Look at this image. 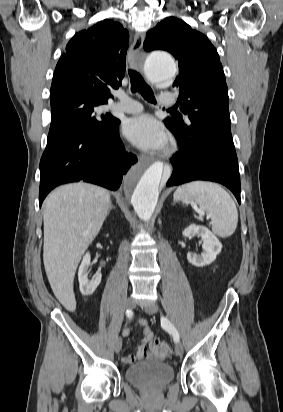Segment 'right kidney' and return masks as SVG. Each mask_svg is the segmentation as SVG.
<instances>
[{
    "mask_svg": "<svg viewBox=\"0 0 283 412\" xmlns=\"http://www.w3.org/2000/svg\"><path fill=\"white\" fill-rule=\"evenodd\" d=\"M90 254L86 253L83 257L78 271V280L80 292L84 296L94 293L101 282V273H97L91 280L88 279V268L90 266Z\"/></svg>",
    "mask_w": 283,
    "mask_h": 412,
    "instance_id": "1",
    "label": "right kidney"
}]
</instances>
